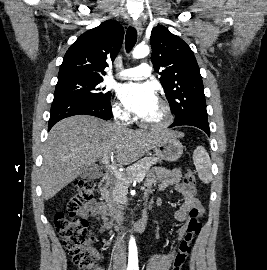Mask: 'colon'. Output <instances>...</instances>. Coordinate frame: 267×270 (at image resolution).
<instances>
[{"label":"colon","instance_id":"colon-1","mask_svg":"<svg viewBox=\"0 0 267 270\" xmlns=\"http://www.w3.org/2000/svg\"><path fill=\"white\" fill-rule=\"evenodd\" d=\"M184 183L196 186V177L192 170H188L184 176ZM96 190L95 181L84 179L77 181L66 196L67 213L59 211L54 217V226L61 238L66 252L80 270H90L97 257L94 248V235L88 228V222L76 217L80 205L91 200ZM201 230V216L193 213L187 232L179 244L173 258L172 270H182L191 251L192 244Z\"/></svg>","mask_w":267,"mask_h":270}]
</instances>
